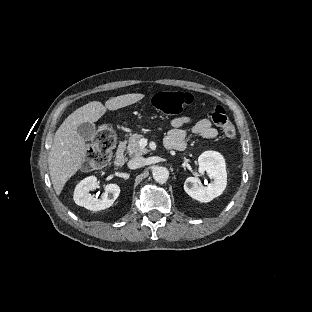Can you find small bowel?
<instances>
[{
	"label": "small bowel",
	"mask_w": 312,
	"mask_h": 312,
	"mask_svg": "<svg viewBox=\"0 0 312 312\" xmlns=\"http://www.w3.org/2000/svg\"><path fill=\"white\" fill-rule=\"evenodd\" d=\"M187 125H191L190 131L192 133L200 135L205 139H213L217 136V130L213 127L210 120L205 118L195 119L190 115H182L170 121V129L165 139L167 147H172L177 151L186 149L187 133L183 127Z\"/></svg>",
	"instance_id": "1"
}]
</instances>
